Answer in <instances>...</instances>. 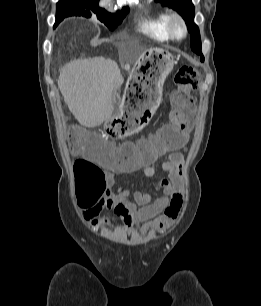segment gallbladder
I'll return each instance as SVG.
<instances>
[{
  "instance_id": "gallbladder-1",
  "label": "gallbladder",
  "mask_w": 261,
  "mask_h": 306,
  "mask_svg": "<svg viewBox=\"0 0 261 306\" xmlns=\"http://www.w3.org/2000/svg\"><path fill=\"white\" fill-rule=\"evenodd\" d=\"M120 101V96L118 93L114 92L113 93V102L114 104H117Z\"/></svg>"
}]
</instances>
